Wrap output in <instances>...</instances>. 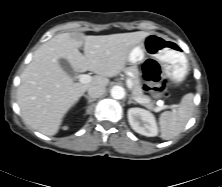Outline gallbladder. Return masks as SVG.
<instances>
[{
  "mask_svg": "<svg viewBox=\"0 0 222 187\" xmlns=\"http://www.w3.org/2000/svg\"><path fill=\"white\" fill-rule=\"evenodd\" d=\"M61 68L70 76H74L75 72L72 69L71 65L69 64V62L66 59H59L58 60Z\"/></svg>",
  "mask_w": 222,
  "mask_h": 187,
  "instance_id": "gallbladder-1",
  "label": "gallbladder"
}]
</instances>
